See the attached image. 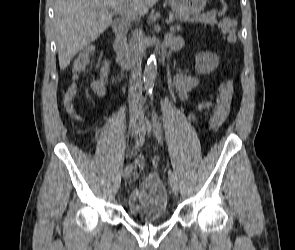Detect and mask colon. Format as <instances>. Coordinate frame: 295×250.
<instances>
[{
  "instance_id": "1",
  "label": "colon",
  "mask_w": 295,
  "mask_h": 250,
  "mask_svg": "<svg viewBox=\"0 0 295 250\" xmlns=\"http://www.w3.org/2000/svg\"><path fill=\"white\" fill-rule=\"evenodd\" d=\"M221 30L225 41L229 44H233L235 40L234 35V22L229 18H223L221 21ZM233 83L229 80L223 82L219 88V93L217 96V103L211 118V128H219L227 119L233 98ZM76 94V85L73 83L68 89L65 96V105L67 111L75 115L73 100ZM157 162H154V166Z\"/></svg>"
}]
</instances>
